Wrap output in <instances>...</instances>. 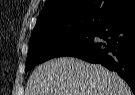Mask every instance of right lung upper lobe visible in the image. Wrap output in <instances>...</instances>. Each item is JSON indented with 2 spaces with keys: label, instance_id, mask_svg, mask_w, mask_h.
<instances>
[{
  "label": "right lung upper lobe",
  "instance_id": "cb5924a9",
  "mask_svg": "<svg viewBox=\"0 0 135 95\" xmlns=\"http://www.w3.org/2000/svg\"><path fill=\"white\" fill-rule=\"evenodd\" d=\"M135 15L134 0H46L32 37L93 30L108 20Z\"/></svg>",
  "mask_w": 135,
  "mask_h": 95
}]
</instances>
